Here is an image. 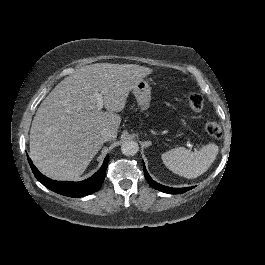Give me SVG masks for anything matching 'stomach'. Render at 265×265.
<instances>
[{
	"label": "stomach",
	"mask_w": 265,
	"mask_h": 265,
	"mask_svg": "<svg viewBox=\"0 0 265 265\" xmlns=\"http://www.w3.org/2000/svg\"><path fill=\"white\" fill-rule=\"evenodd\" d=\"M134 97L137 100L138 105L143 109L147 108L150 101V86L147 81L139 80L131 89Z\"/></svg>",
	"instance_id": "0dacf381"
}]
</instances>
